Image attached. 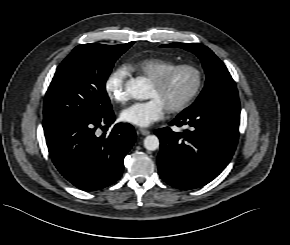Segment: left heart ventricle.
<instances>
[{
    "label": "left heart ventricle",
    "mask_w": 290,
    "mask_h": 245,
    "mask_svg": "<svg viewBox=\"0 0 290 245\" xmlns=\"http://www.w3.org/2000/svg\"><path fill=\"white\" fill-rule=\"evenodd\" d=\"M196 82V75L190 70H180L176 72L167 85L158 89L151 84L148 97L159 99L168 109L179 103L192 90Z\"/></svg>",
    "instance_id": "obj_1"
}]
</instances>
